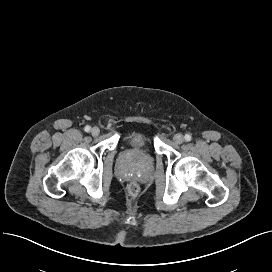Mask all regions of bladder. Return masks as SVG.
<instances>
[{"mask_svg":"<svg viewBox=\"0 0 272 272\" xmlns=\"http://www.w3.org/2000/svg\"><path fill=\"white\" fill-rule=\"evenodd\" d=\"M130 139L139 142H148V136L144 130H135L130 134Z\"/></svg>","mask_w":272,"mask_h":272,"instance_id":"31cf9c89","label":"bladder"}]
</instances>
